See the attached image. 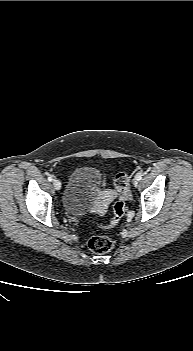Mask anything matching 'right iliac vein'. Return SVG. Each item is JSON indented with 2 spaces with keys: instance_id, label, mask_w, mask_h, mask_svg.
Masks as SVG:
<instances>
[{
  "instance_id": "1",
  "label": "right iliac vein",
  "mask_w": 193,
  "mask_h": 351,
  "mask_svg": "<svg viewBox=\"0 0 193 351\" xmlns=\"http://www.w3.org/2000/svg\"><path fill=\"white\" fill-rule=\"evenodd\" d=\"M53 186L55 187V189L60 190L61 189V182L58 179H54Z\"/></svg>"
}]
</instances>
